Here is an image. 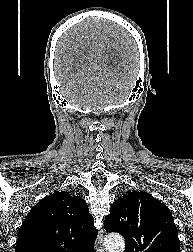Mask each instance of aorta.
Masks as SVG:
<instances>
[{"instance_id": "1", "label": "aorta", "mask_w": 193, "mask_h": 252, "mask_svg": "<svg viewBox=\"0 0 193 252\" xmlns=\"http://www.w3.org/2000/svg\"><path fill=\"white\" fill-rule=\"evenodd\" d=\"M106 252H124L125 241L119 234H111L104 241Z\"/></svg>"}]
</instances>
